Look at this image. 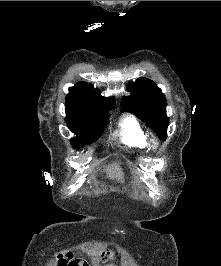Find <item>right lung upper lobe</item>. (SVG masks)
I'll list each match as a JSON object with an SVG mask.
<instances>
[{
  "mask_svg": "<svg viewBox=\"0 0 221 266\" xmlns=\"http://www.w3.org/2000/svg\"><path fill=\"white\" fill-rule=\"evenodd\" d=\"M66 110L79 116L99 117L109 115V109L113 108V97L105 98L99 90L94 89L85 82H79L69 89L66 97Z\"/></svg>",
  "mask_w": 221,
  "mask_h": 266,
  "instance_id": "1",
  "label": "right lung upper lobe"
}]
</instances>
